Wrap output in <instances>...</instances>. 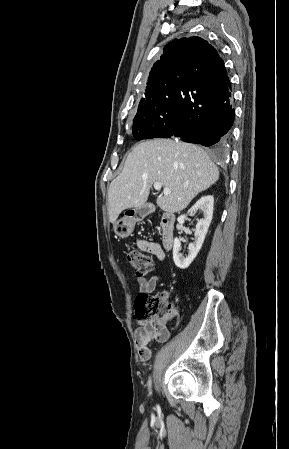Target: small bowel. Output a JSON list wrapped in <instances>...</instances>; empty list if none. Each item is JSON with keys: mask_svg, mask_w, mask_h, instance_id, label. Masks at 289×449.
Instances as JSON below:
<instances>
[{"mask_svg": "<svg viewBox=\"0 0 289 449\" xmlns=\"http://www.w3.org/2000/svg\"><path fill=\"white\" fill-rule=\"evenodd\" d=\"M137 246L148 253L155 255L158 259H164V253L159 244L139 239L137 240ZM162 276L160 274L153 275L151 277L139 276L137 279L139 294L140 293H152L157 284L160 282ZM136 324L138 328L135 331V343L138 349L139 356L142 360H148L151 355L149 345L154 342H164L167 340L169 333L165 331L160 333L156 331L151 323L141 317L136 319Z\"/></svg>", "mask_w": 289, "mask_h": 449, "instance_id": "obj_1", "label": "small bowel"}]
</instances>
